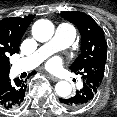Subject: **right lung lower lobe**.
Masks as SVG:
<instances>
[{"label": "right lung lower lobe", "instance_id": "right-lung-lower-lobe-1", "mask_svg": "<svg viewBox=\"0 0 117 117\" xmlns=\"http://www.w3.org/2000/svg\"><path fill=\"white\" fill-rule=\"evenodd\" d=\"M26 86L23 81L16 78L13 82L8 79L0 85V106L11 109L20 106L24 100Z\"/></svg>", "mask_w": 117, "mask_h": 117}]
</instances>
